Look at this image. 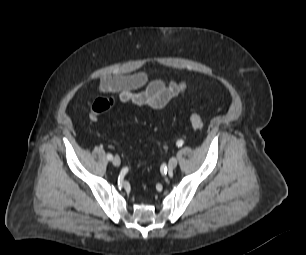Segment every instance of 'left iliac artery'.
<instances>
[{
	"instance_id": "1",
	"label": "left iliac artery",
	"mask_w": 306,
	"mask_h": 255,
	"mask_svg": "<svg viewBox=\"0 0 306 255\" xmlns=\"http://www.w3.org/2000/svg\"><path fill=\"white\" fill-rule=\"evenodd\" d=\"M183 144H184V141H183V140H178L177 143H176V145H177L178 147H181Z\"/></svg>"
}]
</instances>
